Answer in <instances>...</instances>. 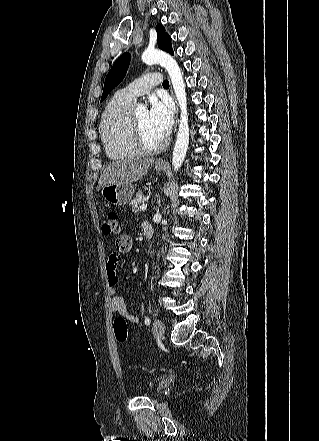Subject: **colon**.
<instances>
[{
  "label": "colon",
  "mask_w": 319,
  "mask_h": 441,
  "mask_svg": "<svg viewBox=\"0 0 319 441\" xmlns=\"http://www.w3.org/2000/svg\"><path fill=\"white\" fill-rule=\"evenodd\" d=\"M121 230L118 213L114 210L109 211L102 224V232L105 235L118 234ZM115 338L119 342H124L127 339V322L124 317L119 316L113 322Z\"/></svg>",
  "instance_id": "obj_1"
}]
</instances>
